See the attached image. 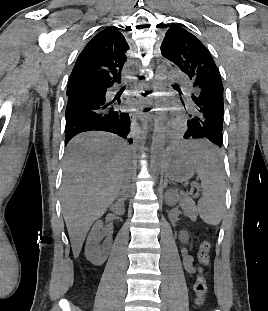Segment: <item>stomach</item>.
I'll use <instances>...</instances> for the list:
<instances>
[{"label": "stomach", "mask_w": 268, "mask_h": 311, "mask_svg": "<svg viewBox=\"0 0 268 311\" xmlns=\"http://www.w3.org/2000/svg\"><path fill=\"white\" fill-rule=\"evenodd\" d=\"M165 175L174 182H186L195 173V164L192 161L191 147L173 146L164 159Z\"/></svg>", "instance_id": "stomach-1"}]
</instances>
